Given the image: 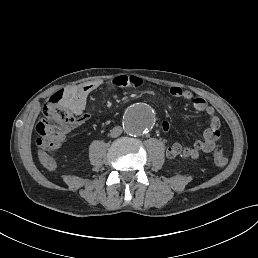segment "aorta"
I'll use <instances>...</instances> for the list:
<instances>
[{
  "label": "aorta",
  "mask_w": 258,
  "mask_h": 258,
  "mask_svg": "<svg viewBox=\"0 0 258 258\" xmlns=\"http://www.w3.org/2000/svg\"><path fill=\"white\" fill-rule=\"evenodd\" d=\"M155 124V115L146 104L130 107L124 115V130L131 136H140Z\"/></svg>",
  "instance_id": "762f6f07"
}]
</instances>
